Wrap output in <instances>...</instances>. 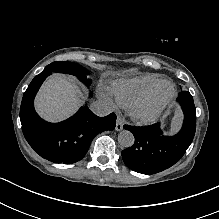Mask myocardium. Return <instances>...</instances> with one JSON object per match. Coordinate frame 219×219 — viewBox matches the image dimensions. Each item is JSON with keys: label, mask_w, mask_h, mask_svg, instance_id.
Listing matches in <instances>:
<instances>
[{"label": "myocardium", "mask_w": 219, "mask_h": 219, "mask_svg": "<svg viewBox=\"0 0 219 219\" xmlns=\"http://www.w3.org/2000/svg\"><path fill=\"white\" fill-rule=\"evenodd\" d=\"M162 84H168L170 91L163 99H156L158 88ZM176 94L175 86L167 80L159 81L142 98H140L132 107L131 115L134 119L148 123L152 122L161 114V112L171 103Z\"/></svg>", "instance_id": "obj_1"}]
</instances>
